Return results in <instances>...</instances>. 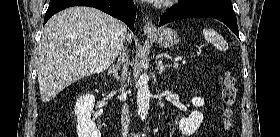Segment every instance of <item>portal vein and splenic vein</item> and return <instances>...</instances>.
<instances>
[{
    "instance_id": "portal-vein-and-splenic-vein-1",
    "label": "portal vein and splenic vein",
    "mask_w": 280,
    "mask_h": 137,
    "mask_svg": "<svg viewBox=\"0 0 280 137\" xmlns=\"http://www.w3.org/2000/svg\"><path fill=\"white\" fill-rule=\"evenodd\" d=\"M182 59H183L182 57H178L175 59V61L182 60Z\"/></svg>"
}]
</instances>
